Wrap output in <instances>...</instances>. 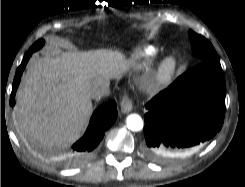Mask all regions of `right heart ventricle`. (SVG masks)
Returning <instances> with one entry per match:
<instances>
[{
    "label": "right heart ventricle",
    "mask_w": 245,
    "mask_h": 187,
    "mask_svg": "<svg viewBox=\"0 0 245 187\" xmlns=\"http://www.w3.org/2000/svg\"><path fill=\"white\" fill-rule=\"evenodd\" d=\"M143 55L146 58H152L156 55V49L152 46L145 47L143 50Z\"/></svg>",
    "instance_id": "right-heart-ventricle-1"
}]
</instances>
